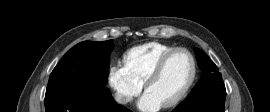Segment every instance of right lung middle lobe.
Here are the masks:
<instances>
[{"label": "right lung middle lobe", "instance_id": "1", "mask_svg": "<svg viewBox=\"0 0 270 112\" xmlns=\"http://www.w3.org/2000/svg\"><path fill=\"white\" fill-rule=\"evenodd\" d=\"M113 41H84L71 48L52 71L46 94L62 85H72L88 91L103 89L108 75V56Z\"/></svg>", "mask_w": 270, "mask_h": 112}]
</instances>
